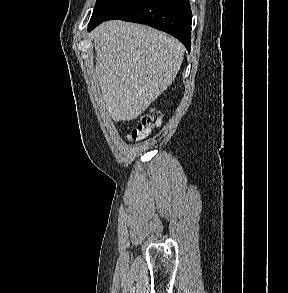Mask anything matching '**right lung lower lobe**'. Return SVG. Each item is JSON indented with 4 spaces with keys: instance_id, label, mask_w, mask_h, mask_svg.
Masks as SVG:
<instances>
[{
    "instance_id": "1",
    "label": "right lung lower lobe",
    "mask_w": 288,
    "mask_h": 293,
    "mask_svg": "<svg viewBox=\"0 0 288 293\" xmlns=\"http://www.w3.org/2000/svg\"><path fill=\"white\" fill-rule=\"evenodd\" d=\"M112 19L146 24L167 32L190 51L192 12L189 0H126L104 21Z\"/></svg>"
}]
</instances>
